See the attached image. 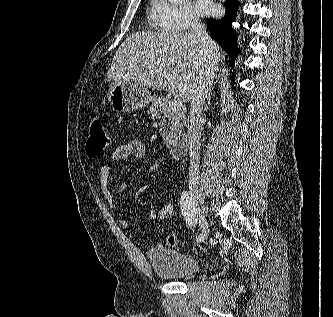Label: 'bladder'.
Segmentation results:
<instances>
[{"label":"bladder","instance_id":"1","mask_svg":"<svg viewBox=\"0 0 333 317\" xmlns=\"http://www.w3.org/2000/svg\"><path fill=\"white\" fill-rule=\"evenodd\" d=\"M147 258L155 274L167 280L190 278L201 268L199 260L193 255L175 251L161 244L149 248Z\"/></svg>","mask_w":333,"mask_h":317}]
</instances>
